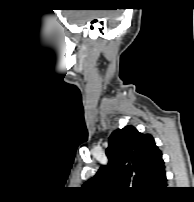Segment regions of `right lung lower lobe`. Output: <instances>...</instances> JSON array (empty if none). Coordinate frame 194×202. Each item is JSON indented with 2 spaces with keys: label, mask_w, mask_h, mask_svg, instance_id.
Listing matches in <instances>:
<instances>
[{
  "label": "right lung lower lobe",
  "mask_w": 194,
  "mask_h": 202,
  "mask_svg": "<svg viewBox=\"0 0 194 202\" xmlns=\"http://www.w3.org/2000/svg\"><path fill=\"white\" fill-rule=\"evenodd\" d=\"M163 194H164V190H163L162 192H160V193L154 195V196L159 197V196H162Z\"/></svg>",
  "instance_id": "1"
}]
</instances>
